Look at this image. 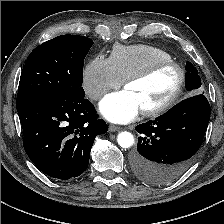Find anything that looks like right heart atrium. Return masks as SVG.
I'll return each mask as SVG.
<instances>
[{"label":"right heart atrium","mask_w":224,"mask_h":224,"mask_svg":"<svg viewBox=\"0 0 224 224\" xmlns=\"http://www.w3.org/2000/svg\"><path fill=\"white\" fill-rule=\"evenodd\" d=\"M82 83L87 96L92 100H99L108 91L119 88L123 81L110 58L98 55L84 68Z\"/></svg>","instance_id":"d8ad5b80"}]
</instances>
